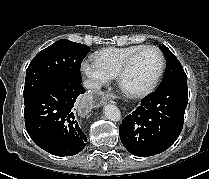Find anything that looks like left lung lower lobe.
Returning <instances> with one entry per match:
<instances>
[{"instance_id":"1","label":"left lung lower lobe","mask_w":209,"mask_h":179,"mask_svg":"<svg viewBox=\"0 0 209 179\" xmlns=\"http://www.w3.org/2000/svg\"><path fill=\"white\" fill-rule=\"evenodd\" d=\"M187 103V80L157 88L122 121L119 126L122 144L138 157L167 150L182 131Z\"/></svg>"}]
</instances>
